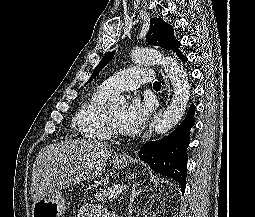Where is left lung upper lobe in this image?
<instances>
[{
	"mask_svg": "<svg viewBox=\"0 0 255 217\" xmlns=\"http://www.w3.org/2000/svg\"><path fill=\"white\" fill-rule=\"evenodd\" d=\"M173 27L164 22L161 18H152L150 21V28L146 35L148 44L160 46L166 50H175L180 46L173 35ZM115 51L108 53L100 63L95 67L90 79L86 82L87 85L91 82L97 74L106 66V64L113 58Z\"/></svg>",
	"mask_w": 255,
	"mask_h": 217,
	"instance_id": "obj_1",
	"label": "left lung upper lobe"
}]
</instances>
